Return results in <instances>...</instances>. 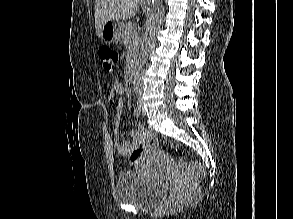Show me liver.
<instances>
[{"mask_svg": "<svg viewBox=\"0 0 293 219\" xmlns=\"http://www.w3.org/2000/svg\"><path fill=\"white\" fill-rule=\"evenodd\" d=\"M139 0H95V30L100 37L109 20H127L135 16Z\"/></svg>", "mask_w": 293, "mask_h": 219, "instance_id": "6515ba94", "label": "liver"}]
</instances>
